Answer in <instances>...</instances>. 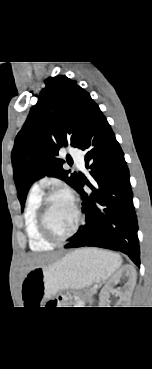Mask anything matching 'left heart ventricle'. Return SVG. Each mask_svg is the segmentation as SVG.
I'll list each match as a JSON object with an SVG mask.
<instances>
[{
  "instance_id": "b2bd125f",
  "label": "left heart ventricle",
  "mask_w": 152,
  "mask_h": 369,
  "mask_svg": "<svg viewBox=\"0 0 152 369\" xmlns=\"http://www.w3.org/2000/svg\"><path fill=\"white\" fill-rule=\"evenodd\" d=\"M77 215L69 197L58 195L51 199L48 207V223L58 236L68 234L76 224Z\"/></svg>"
}]
</instances>
